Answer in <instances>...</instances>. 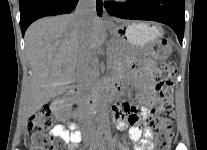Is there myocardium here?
<instances>
[{
  "mask_svg": "<svg viewBox=\"0 0 207 150\" xmlns=\"http://www.w3.org/2000/svg\"><path fill=\"white\" fill-rule=\"evenodd\" d=\"M116 1H119V2H125V1H129V0H116Z\"/></svg>",
  "mask_w": 207,
  "mask_h": 150,
  "instance_id": "f54148a6",
  "label": "myocardium"
}]
</instances>
